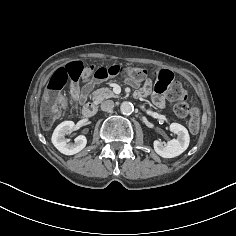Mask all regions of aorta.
<instances>
[{"mask_svg": "<svg viewBox=\"0 0 236 236\" xmlns=\"http://www.w3.org/2000/svg\"><path fill=\"white\" fill-rule=\"evenodd\" d=\"M120 110L123 114L129 115L133 112L134 106L132 103L125 101L121 103Z\"/></svg>", "mask_w": 236, "mask_h": 236, "instance_id": "762f6f07", "label": "aorta"}]
</instances>
